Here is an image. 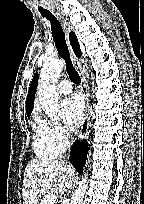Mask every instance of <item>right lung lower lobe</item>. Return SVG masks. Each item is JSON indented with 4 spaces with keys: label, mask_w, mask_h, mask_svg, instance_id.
I'll list each match as a JSON object with an SVG mask.
<instances>
[{
    "label": "right lung lower lobe",
    "mask_w": 144,
    "mask_h": 204,
    "mask_svg": "<svg viewBox=\"0 0 144 204\" xmlns=\"http://www.w3.org/2000/svg\"><path fill=\"white\" fill-rule=\"evenodd\" d=\"M86 159L87 142L84 140L81 143L76 142L70 153V162L80 174L83 172V167L85 166Z\"/></svg>",
    "instance_id": "right-lung-lower-lobe-1"
}]
</instances>
